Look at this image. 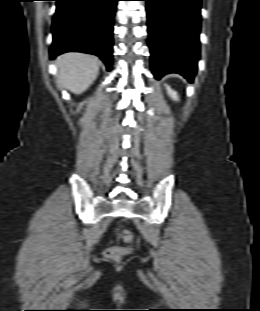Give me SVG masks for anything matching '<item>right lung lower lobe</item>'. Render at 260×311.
<instances>
[{"label":"right lung lower lobe","instance_id":"obj_1","mask_svg":"<svg viewBox=\"0 0 260 311\" xmlns=\"http://www.w3.org/2000/svg\"><path fill=\"white\" fill-rule=\"evenodd\" d=\"M51 58L68 51L99 56L111 70L113 24L118 0H55Z\"/></svg>","mask_w":260,"mask_h":311}]
</instances>
